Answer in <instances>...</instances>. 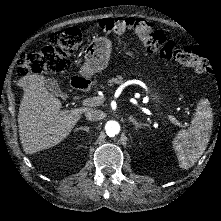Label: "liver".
Wrapping results in <instances>:
<instances>
[{
  "mask_svg": "<svg viewBox=\"0 0 221 221\" xmlns=\"http://www.w3.org/2000/svg\"><path fill=\"white\" fill-rule=\"evenodd\" d=\"M17 86L23 92L18 111L20 140L23 150L29 154L60 142L89 109L61 110L60 100L46 91L40 76L22 79Z\"/></svg>",
  "mask_w": 221,
  "mask_h": 221,
  "instance_id": "6515ba94",
  "label": "liver"
}]
</instances>
